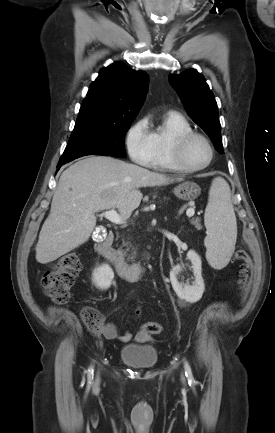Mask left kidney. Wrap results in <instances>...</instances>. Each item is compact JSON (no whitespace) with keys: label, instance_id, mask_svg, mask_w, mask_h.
Returning <instances> with one entry per match:
<instances>
[{"label":"left kidney","instance_id":"obj_1","mask_svg":"<svg viewBox=\"0 0 275 433\" xmlns=\"http://www.w3.org/2000/svg\"><path fill=\"white\" fill-rule=\"evenodd\" d=\"M187 258L192 263L195 281L192 285L180 283L177 274L182 270L181 266H175L170 272V281L178 297L190 303L199 301L203 295L205 285L202 278V262L200 256L193 250L187 253Z\"/></svg>","mask_w":275,"mask_h":433}]
</instances>
